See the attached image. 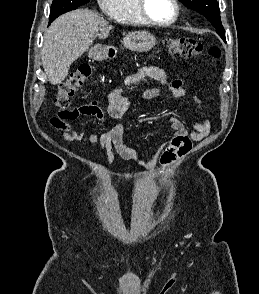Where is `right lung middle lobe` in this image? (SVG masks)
I'll return each mask as SVG.
<instances>
[{"label":"right lung middle lobe","instance_id":"dd1d6c3e","mask_svg":"<svg viewBox=\"0 0 259 294\" xmlns=\"http://www.w3.org/2000/svg\"><path fill=\"white\" fill-rule=\"evenodd\" d=\"M90 0H53L51 5L49 23L59 15L75 10L80 5L88 3Z\"/></svg>","mask_w":259,"mask_h":294}]
</instances>
